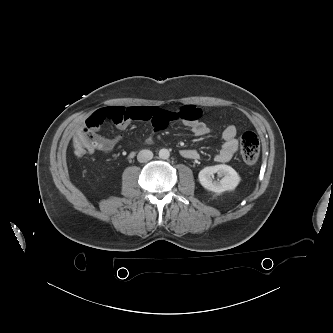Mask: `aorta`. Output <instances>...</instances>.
<instances>
[{
  "instance_id": "762f6f07",
  "label": "aorta",
  "mask_w": 333,
  "mask_h": 333,
  "mask_svg": "<svg viewBox=\"0 0 333 333\" xmlns=\"http://www.w3.org/2000/svg\"><path fill=\"white\" fill-rule=\"evenodd\" d=\"M169 156H170V153H169V150L168 149H165V148H163V149H160V151H159V157L161 158V159H168L169 158Z\"/></svg>"
}]
</instances>
